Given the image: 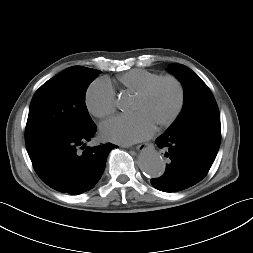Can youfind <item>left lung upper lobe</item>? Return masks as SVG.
<instances>
[{
  "mask_svg": "<svg viewBox=\"0 0 253 253\" xmlns=\"http://www.w3.org/2000/svg\"><path fill=\"white\" fill-rule=\"evenodd\" d=\"M169 70L181 81L184 88L183 110L170 128L184 126L201 120L220 123L216 101L203 80L182 64H172Z\"/></svg>",
  "mask_w": 253,
  "mask_h": 253,
  "instance_id": "obj_1",
  "label": "left lung upper lobe"
}]
</instances>
